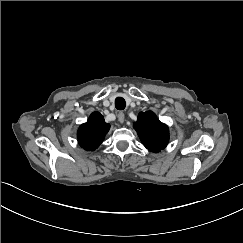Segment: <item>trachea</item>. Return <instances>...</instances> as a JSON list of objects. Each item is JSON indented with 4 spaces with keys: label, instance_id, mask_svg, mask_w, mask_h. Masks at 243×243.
I'll return each mask as SVG.
<instances>
[{
    "label": "trachea",
    "instance_id": "3493384b",
    "mask_svg": "<svg viewBox=\"0 0 243 243\" xmlns=\"http://www.w3.org/2000/svg\"><path fill=\"white\" fill-rule=\"evenodd\" d=\"M115 107L118 110H124L126 107L125 99L122 97H117L115 100Z\"/></svg>",
    "mask_w": 243,
    "mask_h": 243
}]
</instances>
